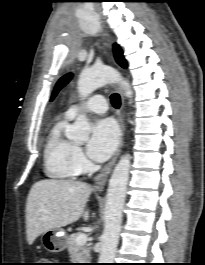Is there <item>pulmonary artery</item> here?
<instances>
[{
    "instance_id": "pulmonary-artery-1",
    "label": "pulmonary artery",
    "mask_w": 205,
    "mask_h": 265,
    "mask_svg": "<svg viewBox=\"0 0 205 265\" xmlns=\"http://www.w3.org/2000/svg\"><path fill=\"white\" fill-rule=\"evenodd\" d=\"M107 111L106 99L101 95L91 97L83 105H73L66 112L65 116L69 119L75 118L81 112L105 113Z\"/></svg>"
}]
</instances>
